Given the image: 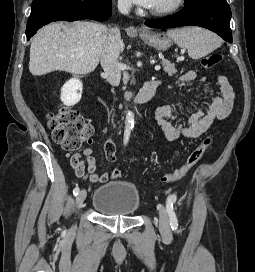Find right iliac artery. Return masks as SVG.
Wrapping results in <instances>:
<instances>
[{
    "label": "right iliac artery",
    "mask_w": 255,
    "mask_h": 272,
    "mask_svg": "<svg viewBox=\"0 0 255 272\" xmlns=\"http://www.w3.org/2000/svg\"><path fill=\"white\" fill-rule=\"evenodd\" d=\"M129 136H130V129H126L124 133V144H127L129 140ZM79 191H80L79 187H75L73 190V195L77 196Z\"/></svg>",
    "instance_id": "1"
}]
</instances>
